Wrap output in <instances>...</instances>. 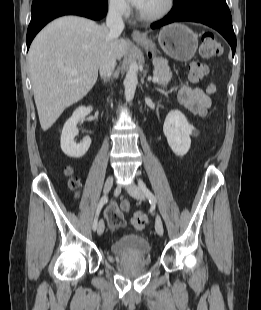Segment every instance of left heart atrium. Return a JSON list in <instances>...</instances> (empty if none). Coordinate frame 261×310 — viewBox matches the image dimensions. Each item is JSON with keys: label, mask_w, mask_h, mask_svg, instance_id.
Returning <instances> with one entry per match:
<instances>
[{"label": "left heart atrium", "mask_w": 261, "mask_h": 310, "mask_svg": "<svg viewBox=\"0 0 261 310\" xmlns=\"http://www.w3.org/2000/svg\"><path fill=\"white\" fill-rule=\"evenodd\" d=\"M136 8L140 9L146 0H129Z\"/></svg>", "instance_id": "left-heart-atrium-1"}]
</instances>
